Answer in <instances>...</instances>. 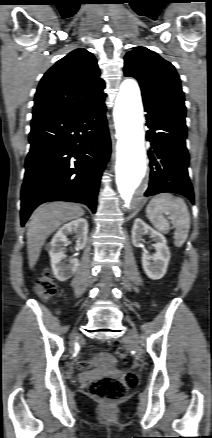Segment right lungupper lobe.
<instances>
[{
    "label": "right lung upper lobe",
    "instance_id": "obj_1",
    "mask_svg": "<svg viewBox=\"0 0 212 438\" xmlns=\"http://www.w3.org/2000/svg\"><path fill=\"white\" fill-rule=\"evenodd\" d=\"M104 88L93 54L76 49L42 77L35 95L33 120L92 108L104 102Z\"/></svg>",
    "mask_w": 212,
    "mask_h": 438
}]
</instances>
